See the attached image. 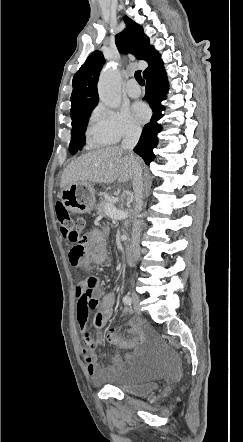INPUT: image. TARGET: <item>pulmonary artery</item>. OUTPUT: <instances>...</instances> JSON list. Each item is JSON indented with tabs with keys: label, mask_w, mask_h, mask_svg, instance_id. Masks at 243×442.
<instances>
[{
	"label": "pulmonary artery",
	"mask_w": 243,
	"mask_h": 442,
	"mask_svg": "<svg viewBox=\"0 0 243 442\" xmlns=\"http://www.w3.org/2000/svg\"><path fill=\"white\" fill-rule=\"evenodd\" d=\"M126 92L132 98H136V97L140 96L141 89L135 79H130L128 81V83L126 85Z\"/></svg>",
	"instance_id": "e3ab8cb5"
}]
</instances>
